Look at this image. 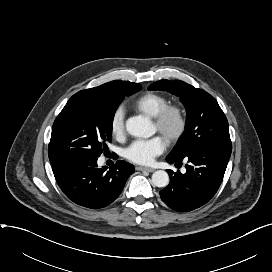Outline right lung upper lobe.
Listing matches in <instances>:
<instances>
[{"mask_svg": "<svg viewBox=\"0 0 272 272\" xmlns=\"http://www.w3.org/2000/svg\"><path fill=\"white\" fill-rule=\"evenodd\" d=\"M129 83L131 82L111 81L98 87L79 91L73 95L69 101L77 99L97 102L113 100L120 97L126 91Z\"/></svg>", "mask_w": 272, "mask_h": 272, "instance_id": "1", "label": "right lung upper lobe"}]
</instances>
